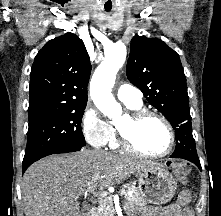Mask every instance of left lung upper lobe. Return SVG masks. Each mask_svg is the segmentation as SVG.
Returning <instances> with one entry per match:
<instances>
[{
  "label": "left lung upper lobe",
  "mask_w": 221,
  "mask_h": 216,
  "mask_svg": "<svg viewBox=\"0 0 221 216\" xmlns=\"http://www.w3.org/2000/svg\"><path fill=\"white\" fill-rule=\"evenodd\" d=\"M126 74L148 102L169 120L175 129L176 144L196 152L186 77L179 55L161 39L135 35Z\"/></svg>",
  "instance_id": "1"
}]
</instances>
